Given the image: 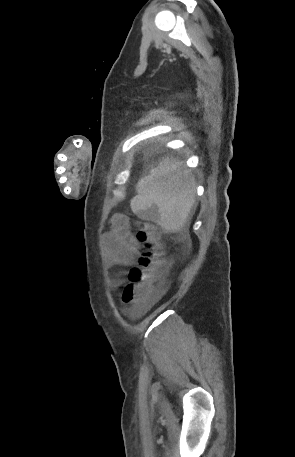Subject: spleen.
Wrapping results in <instances>:
<instances>
[{"instance_id": "3e777b00", "label": "spleen", "mask_w": 295, "mask_h": 457, "mask_svg": "<svg viewBox=\"0 0 295 457\" xmlns=\"http://www.w3.org/2000/svg\"><path fill=\"white\" fill-rule=\"evenodd\" d=\"M137 195L131 200L132 211L142 218L155 220L166 232L179 231L195 202V179L181 163L164 158L157 168L140 179Z\"/></svg>"}]
</instances>
